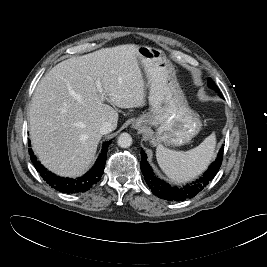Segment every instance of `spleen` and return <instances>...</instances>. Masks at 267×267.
Returning <instances> with one entry per match:
<instances>
[{
    "mask_svg": "<svg viewBox=\"0 0 267 267\" xmlns=\"http://www.w3.org/2000/svg\"><path fill=\"white\" fill-rule=\"evenodd\" d=\"M216 137L212 133L197 147L186 152L158 145L156 158L160 168L172 180L185 182L203 172L214 157Z\"/></svg>",
    "mask_w": 267,
    "mask_h": 267,
    "instance_id": "3e777b00",
    "label": "spleen"
}]
</instances>
